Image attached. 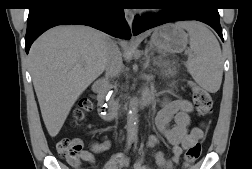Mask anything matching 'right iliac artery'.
Here are the masks:
<instances>
[{
  "label": "right iliac artery",
  "instance_id": "right-iliac-artery-1",
  "mask_svg": "<svg viewBox=\"0 0 252 169\" xmlns=\"http://www.w3.org/2000/svg\"><path fill=\"white\" fill-rule=\"evenodd\" d=\"M130 145H131V141H128V143H127V150L130 147Z\"/></svg>",
  "mask_w": 252,
  "mask_h": 169
}]
</instances>
